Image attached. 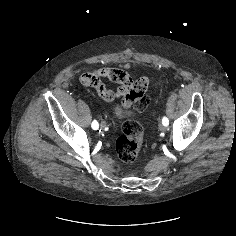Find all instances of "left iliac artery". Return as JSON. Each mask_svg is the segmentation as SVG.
<instances>
[{
	"mask_svg": "<svg viewBox=\"0 0 236 236\" xmlns=\"http://www.w3.org/2000/svg\"><path fill=\"white\" fill-rule=\"evenodd\" d=\"M162 124L165 125V126H168L169 125V120L167 117H163L162 119Z\"/></svg>",
	"mask_w": 236,
	"mask_h": 236,
	"instance_id": "1",
	"label": "left iliac artery"
}]
</instances>
